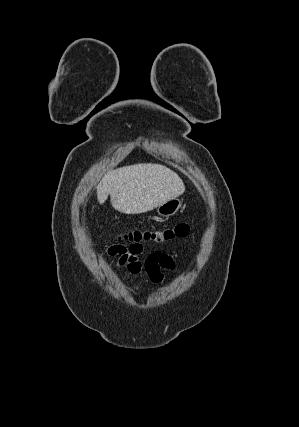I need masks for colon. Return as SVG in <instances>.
Here are the masks:
<instances>
[{
	"instance_id": "obj_1",
	"label": "colon",
	"mask_w": 299,
	"mask_h": 427,
	"mask_svg": "<svg viewBox=\"0 0 299 427\" xmlns=\"http://www.w3.org/2000/svg\"><path fill=\"white\" fill-rule=\"evenodd\" d=\"M190 232V226L187 223H176L159 229H136L125 233L122 240L129 243L142 242H165L176 238H183ZM123 245H114L110 248V253L115 255L117 252L125 251Z\"/></svg>"
}]
</instances>
